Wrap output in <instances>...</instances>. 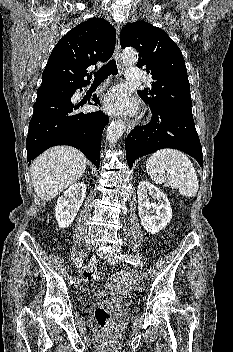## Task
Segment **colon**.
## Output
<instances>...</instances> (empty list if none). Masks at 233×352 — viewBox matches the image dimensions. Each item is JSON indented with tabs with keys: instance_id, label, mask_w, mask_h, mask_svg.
I'll return each instance as SVG.
<instances>
[{
	"instance_id": "1",
	"label": "colon",
	"mask_w": 233,
	"mask_h": 352,
	"mask_svg": "<svg viewBox=\"0 0 233 352\" xmlns=\"http://www.w3.org/2000/svg\"><path fill=\"white\" fill-rule=\"evenodd\" d=\"M97 279H98V273H97L96 266L89 265L84 270V274H83V280H84L85 286L87 288L90 287L92 285V283ZM94 316H95L97 323L101 327L107 326L112 318L110 311L105 308H102V307H98L95 309Z\"/></svg>"
}]
</instances>
